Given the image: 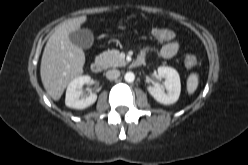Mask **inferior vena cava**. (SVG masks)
<instances>
[{
	"mask_svg": "<svg viewBox=\"0 0 248 165\" xmlns=\"http://www.w3.org/2000/svg\"><path fill=\"white\" fill-rule=\"evenodd\" d=\"M119 76H120V71H119V70H116V69L108 70V71L106 72V77H107L109 80H115V79H117Z\"/></svg>",
	"mask_w": 248,
	"mask_h": 165,
	"instance_id": "602c4592",
	"label": "inferior vena cava"
}]
</instances>
